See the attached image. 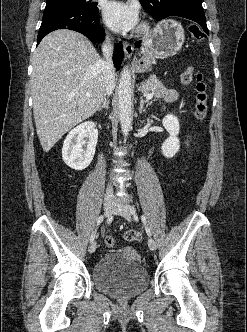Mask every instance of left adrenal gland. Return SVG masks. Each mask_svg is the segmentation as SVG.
<instances>
[{
    "label": "left adrenal gland",
    "mask_w": 247,
    "mask_h": 332,
    "mask_svg": "<svg viewBox=\"0 0 247 332\" xmlns=\"http://www.w3.org/2000/svg\"><path fill=\"white\" fill-rule=\"evenodd\" d=\"M147 104V106L149 105V101L148 100H144L143 97H140V107H139V113L141 114L144 108V105Z\"/></svg>",
    "instance_id": "left-adrenal-gland-1"
}]
</instances>
